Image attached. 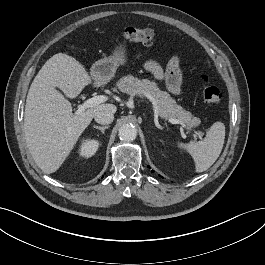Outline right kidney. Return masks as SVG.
<instances>
[{
    "label": "right kidney",
    "instance_id": "ca27d5eb",
    "mask_svg": "<svg viewBox=\"0 0 265 265\" xmlns=\"http://www.w3.org/2000/svg\"><path fill=\"white\" fill-rule=\"evenodd\" d=\"M99 147V142L95 139L84 140L80 146L79 154L82 157L89 158L93 156Z\"/></svg>",
    "mask_w": 265,
    "mask_h": 265
}]
</instances>
